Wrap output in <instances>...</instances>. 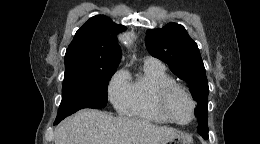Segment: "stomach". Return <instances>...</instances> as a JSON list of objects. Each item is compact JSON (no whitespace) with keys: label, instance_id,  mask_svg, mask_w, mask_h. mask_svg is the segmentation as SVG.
Here are the masks:
<instances>
[{"label":"stomach","instance_id":"stomach-1","mask_svg":"<svg viewBox=\"0 0 260 144\" xmlns=\"http://www.w3.org/2000/svg\"><path fill=\"white\" fill-rule=\"evenodd\" d=\"M181 142H182L181 137H177L167 142H163L162 144H181Z\"/></svg>","mask_w":260,"mask_h":144}]
</instances>
